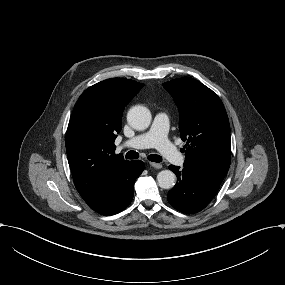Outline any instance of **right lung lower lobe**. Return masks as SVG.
Here are the masks:
<instances>
[{
	"instance_id": "98d812e1",
	"label": "right lung lower lobe",
	"mask_w": 285,
	"mask_h": 285,
	"mask_svg": "<svg viewBox=\"0 0 285 285\" xmlns=\"http://www.w3.org/2000/svg\"><path fill=\"white\" fill-rule=\"evenodd\" d=\"M144 170L140 160L129 161L118 173L107 192L95 203L89 205L101 215H114L124 210L132 201L134 182Z\"/></svg>"
}]
</instances>
